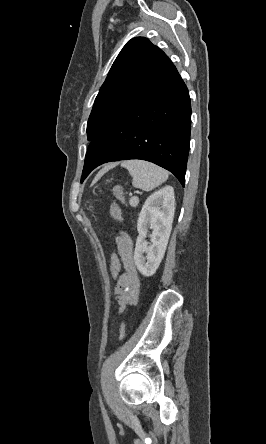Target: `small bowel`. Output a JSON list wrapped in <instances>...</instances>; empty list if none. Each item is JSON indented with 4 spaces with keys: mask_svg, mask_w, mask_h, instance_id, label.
Segmentation results:
<instances>
[{
    "mask_svg": "<svg viewBox=\"0 0 266 444\" xmlns=\"http://www.w3.org/2000/svg\"><path fill=\"white\" fill-rule=\"evenodd\" d=\"M118 252L124 271L117 280L114 292L123 309L126 305L134 304L137 301L140 280L134 264L132 242L128 236L123 235L118 239Z\"/></svg>",
    "mask_w": 266,
    "mask_h": 444,
    "instance_id": "1",
    "label": "small bowel"
}]
</instances>
